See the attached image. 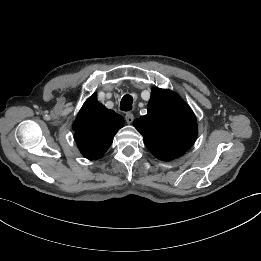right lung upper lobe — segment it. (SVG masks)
I'll list each match as a JSON object with an SVG mask.
<instances>
[{
	"label": "right lung upper lobe",
	"instance_id": "cb5924a9",
	"mask_svg": "<svg viewBox=\"0 0 261 261\" xmlns=\"http://www.w3.org/2000/svg\"><path fill=\"white\" fill-rule=\"evenodd\" d=\"M124 125L123 118L97 102L92 95L81 108L73 124L74 139L88 159L101 158L110 147L113 137Z\"/></svg>",
	"mask_w": 261,
	"mask_h": 261
}]
</instances>
